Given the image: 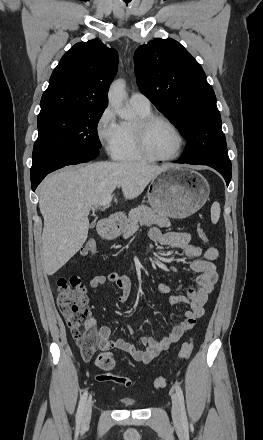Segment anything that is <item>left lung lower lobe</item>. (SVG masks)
Masks as SVG:
<instances>
[{"label":"left lung lower lobe","instance_id":"0a47b994","mask_svg":"<svg viewBox=\"0 0 263 440\" xmlns=\"http://www.w3.org/2000/svg\"><path fill=\"white\" fill-rule=\"evenodd\" d=\"M177 163H185L186 161L181 158L180 160L176 161ZM200 165H207L215 170H217L225 179L227 186L229 185V182L231 180V165H220V164H200Z\"/></svg>","mask_w":263,"mask_h":440}]
</instances>
